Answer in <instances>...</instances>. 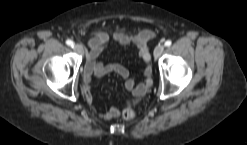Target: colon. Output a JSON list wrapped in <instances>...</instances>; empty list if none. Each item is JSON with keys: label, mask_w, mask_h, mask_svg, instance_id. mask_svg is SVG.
<instances>
[{"label": "colon", "mask_w": 247, "mask_h": 145, "mask_svg": "<svg viewBox=\"0 0 247 145\" xmlns=\"http://www.w3.org/2000/svg\"><path fill=\"white\" fill-rule=\"evenodd\" d=\"M136 116V113L133 109L131 108H125L122 110L121 112V117L124 119V120H132L134 119Z\"/></svg>", "instance_id": "1"}]
</instances>
